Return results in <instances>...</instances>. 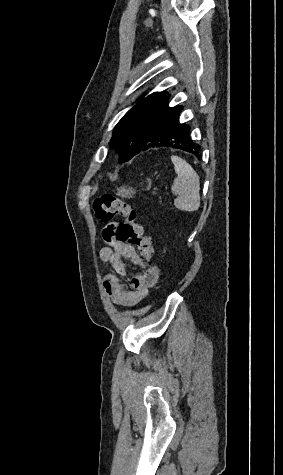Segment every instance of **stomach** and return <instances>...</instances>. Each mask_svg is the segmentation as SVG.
<instances>
[{"instance_id": "1", "label": "stomach", "mask_w": 283, "mask_h": 475, "mask_svg": "<svg viewBox=\"0 0 283 475\" xmlns=\"http://www.w3.org/2000/svg\"><path fill=\"white\" fill-rule=\"evenodd\" d=\"M149 184L147 186V190H149L151 184H150V180H148ZM135 194V190H133V188H125V186H123V188H118L117 190V196H121V198H132V196H134Z\"/></svg>"}]
</instances>
